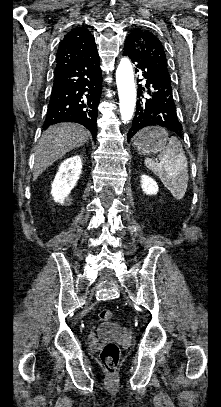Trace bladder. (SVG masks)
Here are the masks:
<instances>
[{
    "label": "bladder",
    "instance_id": "bladder-1",
    "mask_svg": "<svg viewBox=\"0 0 221 407\" xmlns=\"http://www.w3.org/2000/svg\"><path fill=\"white\" fill-rule=\"evenodd\" d=\"M100 335L116 338L121 333V326L115 321H109L97 328Z\"/></svg>",
    "mask_w": 221,
    "mask_h": 407
}]
</instances>
